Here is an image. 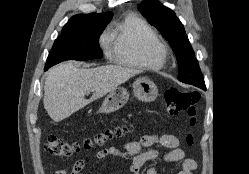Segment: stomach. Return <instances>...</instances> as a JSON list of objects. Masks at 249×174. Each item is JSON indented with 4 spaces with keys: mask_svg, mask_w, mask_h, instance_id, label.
Wrapping results in <instances>:
<instances>
[{
    "mask_svg": "<svg viewBox=\"0 0 249 174\" xmlns=\"http://www.w3.org/2000/svg\"><path fill=\"white\" fill-rule=\"evenodd\" d=\"M135 97L144 102L154 101L158 95L156 85L148 78L142 77L133 83ZM129 99L128 91L123 87H117L105 98L99 112L110 113L122 108Z\"/></svg>",
    "mask_w": 249,
    "mask_h": 174,
    "instance_id": "1",
    "label": "stomach"
}]
</instances>
